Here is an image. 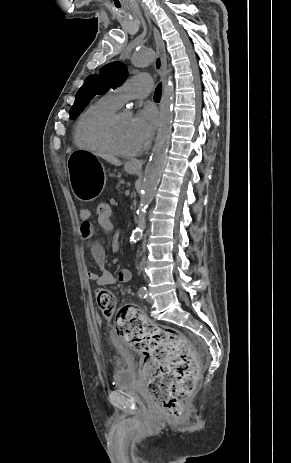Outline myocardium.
Instances as JSON below:
<instances>
[{
	"label": "myocardium",
	"instance_id": "1",
	"mask_svg": "<svg viewBox=\"0 0 291 463\" xmlns=\"http://www.w3.org/2000/svg\"><path fill=\"white\" fill-rule=\"evenodd\" d=\"M122 114V112L116 110L109 115L96 120L89 128V136L91 140L99 145L104 151L124 158L135 157L141 152L140 148L131 152L121 150L113 143L110 136L112 126Z\"/></svg>",
	"mask_w": 291,
	"mask_h": 463
}]
</instances>
